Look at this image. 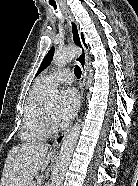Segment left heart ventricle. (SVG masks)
<instances>
[{
	"label": "left heart ventricle",
	"instance_id": "obj_1",
	"mask_svg": "<svg viewBox=\"0 0 138 186\" xmlns=\"http://www.w3.org/2000/svg\"><path fill=\"white\" fill-rule=\"evenodd\" d=\"M47 110H48V113L51 116V118L54 120V116L57 111V107L56 106H49V107H47Z\"/></svg>",
	"mask_w": 138,
	"mask_h": 186
}]
</instances>
